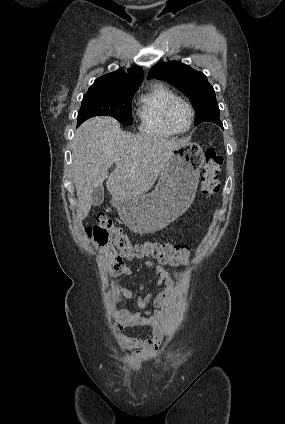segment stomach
<instances>
[{"label":"stomach","mask_w":285,"mask_h":424,"mask_svg":"<svg viewBox=\"0 0 285 424\" xmlns=\"http://www.w3.org/2000/svg\"><path fill=\"white\" fill-rule=\"evenodd\" d=\"M203 162L202 148L196 143H187L172 152L154 191L132 199L113 196L112 205L132 231H158L181 216L192 204Z\"/></svg>","instance_id":"obj_1"}]
</instances>
